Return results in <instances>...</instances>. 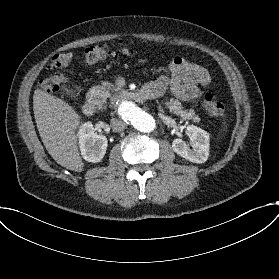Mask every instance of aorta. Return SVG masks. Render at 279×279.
Here are the masks:
<instances>
[{
  "mask_svg": "<svg viewBox=\"0 0 279 279\" xmlns=\"http://www.w3.org/2000/svg\"><path fill=\"white\" fill-rule=\"evenodd\" d=\"M118 112L141 132H151L156 127L154 118L130 100H122L118 105Z\"/></svg>",
  "mask_w": 279,
  "mask_h": 279,
  "instance_id": "aorta-1",
  "label": "aorta"
}]
</instances>
